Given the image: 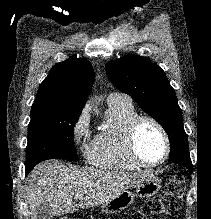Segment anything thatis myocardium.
Instances as JSON below:
<instances>
[{
    "mask_svg": "<svg viewBox=\"0 0 211 219\" xmlns=\"http://www.w3.org/2000/svg\"><path fill=\"white\" fill-rule=\"evenodd\" d=\"M145 121L152 123L160 131L164 140L165 149H164L163 157L161 158L160 161L156 163H147L143 161L140 158L137 151V145H136L137 130L140 124ZM125 145H126L127 153L131 158V160L142 168H158L162 166L168 160L171 152L170 138L166 129L156 118L150 115H137L128 123L125 132Z\"/></svg>",
    "mask_w": 211,
    "mask_h": 219,
    "instance_id": "1",
    "label": "myocardium"
}]
</instances>
